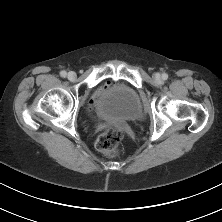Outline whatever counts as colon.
<instances>
[{"mask_svg": "<svg viewBox=\"0 0 222 222\" xmlns=\"http://www.w3.org/2000/svg\"><path fill=\"white\" fill-rule=\"evenodd\" d=\"M123 131L117 128H113L102 133L97 142V149L103 154L113 157L119 152V146L123 140Z\"/></svg>", "mask_w": 222, "mask_h": 222, "instance_id": "1", "label": "colon"}]
</instances>
